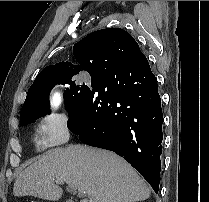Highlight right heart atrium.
<instances>
[{"instance_id": "d8ad5b80", "label": "right heart atrium", "mask_w": 209, "mask_h": 202, "mask_svg": "<svg viewBox=\"0 0 209 202\" xmlns=\"http://www.w3.org/2000/svg\"><path fill=\"white\" fill-rule=\"evenodd\" d=\"M69 120L65 115L45 114L35 127L38 149H47L65 144L70 139Z\"/></svg>"}]
</instances>
